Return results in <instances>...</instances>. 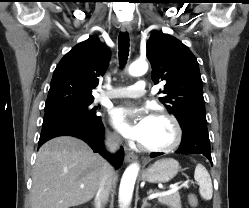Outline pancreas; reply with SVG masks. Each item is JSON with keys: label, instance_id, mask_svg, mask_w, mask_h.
<instances>
[{"label": "pancreas", "instance_id": "pancreas-1", "mask_svg": "<svg viewBox=\"0 0 249 208\" xmlns=\"http://www.w3.org/2000/svg\"><path fill=\"white\" fill-rule=\"evenodd\" d=\"M153 191L150 190V193ZM155 192H158L157 190ZM158 201L161 204L170 206L171 208H181V200H180V194L179 192H175L169 195H164L158 197Z\"/></svg>", "mask_w": 249, "mask_h": 208}]
</instances>
